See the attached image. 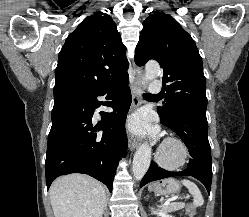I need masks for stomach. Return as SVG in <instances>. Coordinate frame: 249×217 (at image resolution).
I'll return each instance as SVG.
<instances>
[{
    "label": "stomach",
    "instance_id": "1",
    "mask_svg": "<svg viewBox=\"0 0 249 217\" xmlns=\"http://www.w3.org/2000/svg\"><path fill=\"white\" fill-rule=\"evenodd\" d=\"M180 184L173 178H167L160 181H156L149 185V190L153 191L157 195L168 196L174 195L180 192Z\"/></svg>",
    "mask_w": 249,
    "mask_h": 217
}]
</instances>
